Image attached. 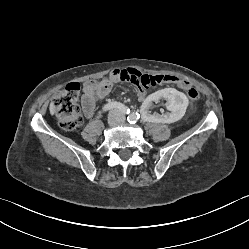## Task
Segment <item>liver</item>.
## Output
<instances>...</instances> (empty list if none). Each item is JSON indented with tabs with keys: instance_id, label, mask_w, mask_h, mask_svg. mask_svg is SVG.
<instances>
[{
	"instance_id": "obj_1",
	"label": "liver",
	"mask_w": 249,
	"mask_h": 249,
	"mask_svg": "<svg viewBox=\"0 0 249 249\" xmlns=\"http://www.w3.org/2000/svg\"><path fill=\"white\" fill-rule=\"evenodd\" d=\"M49 110H50V114H51V115H54V114L56 113L55 105H54L53 102L50 103Z\"/></svg>"
}]
</instances>
